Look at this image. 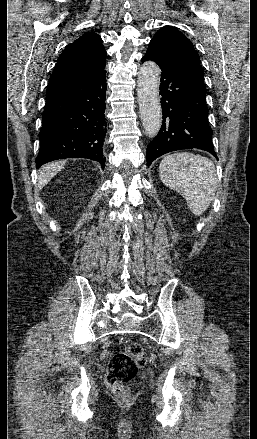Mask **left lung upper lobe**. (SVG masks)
<instances>
[{
    "label": "left lung upper lobe",
    "mask_w": 257,
    "mask_h": 439,
    "mask_svg": "<svg viewBox=\"0 0 257 439\" xmlns=\"http://www.w3.org/2000/svg\"><path fill=\"white\" fill-rule=\"evenodd\" d=\"M150 44L157 46L158 50L173 61L186 67L202 83L204 72L200 65V57L193 47L192 42L180 31L165 26L156 32Z\"/></svg>",
    "instance_id": "5c2ea615"
}]
</instances>
